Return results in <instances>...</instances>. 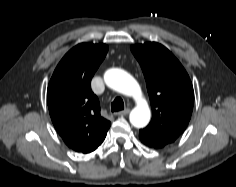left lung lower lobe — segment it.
Instances as JSON below:
<instances>
[{"label":"left lung lower lobe","mask_w":236,"mask_h":187,"mask_svg":"<svg viewBox=\"0 0 236 187\" xmlns=\"http://www.w3.org/2000/svg\"><path fill=\"white\" fill-rule=\"evenodd\" d=\"M141 141H142L144 144L148 145V146H153V147H155V148H162V146L153 144V143H151V142H148V141H145V140H142V139H141Z\"/></svg>","instance_id":"1"}]
</instances>
